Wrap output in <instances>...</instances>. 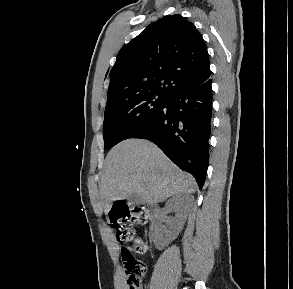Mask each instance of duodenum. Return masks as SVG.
<instances>
[{"label":"duodenum","instance_id":"duodenum-1","mask_svg":"<svg viewBox=\"0 0 293 289\" xmlns=\"http://www.w3.org/2000/svg\"><path fill=\"white\" fill-rule=\"evenodd\" d=\"M157 207L156 206H149L148 207V215L149 217H153L156 214Z\"/></svg>","mask_w":293,"mask_h":289}]
</instances>
